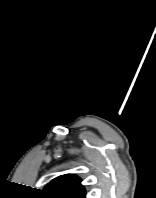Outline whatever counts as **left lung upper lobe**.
Wrapping results in <instances>:
<instances>
[{"instance_id": "obj_1", "label": "left lung upper lobe", "mask_w": 156, "mask_h": 198, "mask_svg": "<svg viewBox=\"0 0 156 198\" xmlns=\"http://www.w3.org/2000/svg\"><path fill=\"white\" fill-rule=\"evenodd\" d=\"M41 193L44 198H86L80 178L73 174H65L53 179Z\"/></svg>"}]
</instances>
